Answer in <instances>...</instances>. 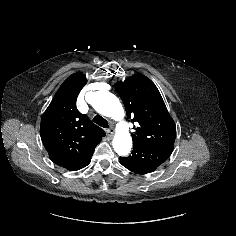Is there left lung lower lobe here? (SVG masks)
I'll use <instances>...</instances> for the list:
<instances>
[{
  "mask_svg": "<svg viewBox=\"0 0 236 236\" xmlns=\"http://www.w3.org/2000/svg\"><path fill=\"white\" fill-rule=\"evenodd\" d=\"M173 146L169 145H135L132 154L120 157V163L137 174L154 172L171 155Z\"/></svg>",
  "mask_w": 236,
  "mask_h": 236,
  "instance_id": "obj_1",
  "label": "left lung lower lobe"
}]
</instances>
